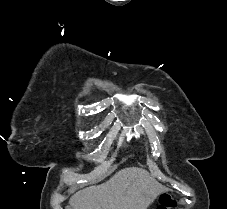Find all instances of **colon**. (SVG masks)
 I'll use <instances>...</instances> for the list:
<instances>
[{
    "label": "colon",
    "mask_w": 227,
    "mask_h": 209,
    "mask_svg": "<svg viewBox=\"0 0 227 209\" xmlns=\"http://www.w3.org/2000/svg\"><path fill=\"white\" fill-rule=\"evenodd\" d=\"M178 201L169 193H164L160 197L157 209H176Z\"/></svg>",
    "instance_id": "5ec220e1"
}]
</instances>
